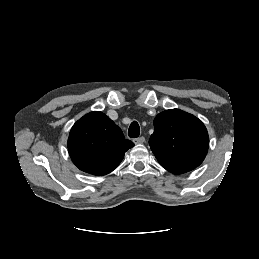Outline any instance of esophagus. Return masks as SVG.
<instances>
[{
  "mask_svg": "<svg viewBox=\"0 0 259 259\" xmlns=\"http://www.w3.org/2000/svg\"><path fill=\"white\" fill-rule=\"evenodd\" d=\"M144 142H145V138L143 136L134 139L135 144H142Z\"/></svg>",
  "mask_w": 259,
  "mask_h": 259,
  "instance_id": "esophagus-1",
  "label": "esophagus"
}]
</instances>
